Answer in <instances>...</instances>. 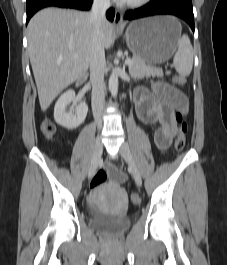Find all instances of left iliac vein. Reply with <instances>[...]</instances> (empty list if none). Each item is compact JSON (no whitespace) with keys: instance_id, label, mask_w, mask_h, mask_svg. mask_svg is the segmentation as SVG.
Masks as SVG:
<instances>
[{"instance_id":"obj_1","label":"left iliac vein","mask_w":227,"mask_h":265,"mask_svg":"<svg viewBox=\"0 0 227 265\" xmlns=\"http://www.w3.org/2000/svg\"><path fill=\"white\" fill-rule=\"evenodd\" d=\"M120 155L123 157V159L126 161V163L129 166L130 172L138 186H141L142 184V178L140 171L133 159V156L131 154L130 148L126 142H123L119 149Z\"/></svg>"}]
</instances>
